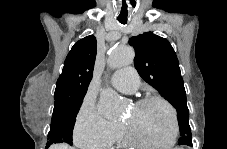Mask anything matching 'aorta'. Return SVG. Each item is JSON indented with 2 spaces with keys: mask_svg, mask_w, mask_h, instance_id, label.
<instances>
[{
  "mask_svg": "<svg viewBox=\"0 0 227 149\" xmlns=\"http://www.w3.org/2000/svg\"><path fill=\"white\" fill-rule=\"evenodd\" d=\"M134 52L128 46L116 45L109 56V66L113 69L127 66L133 62ZM98 111L105 117H117L121 114V99L118 94L106 88L101 90L98 101Z\"/></svg>",
  "mask_w": 227,
  "mask_h": 149,
  "instance_id": "aorta-1",
  "label": "aorta"
}]
</instances>
